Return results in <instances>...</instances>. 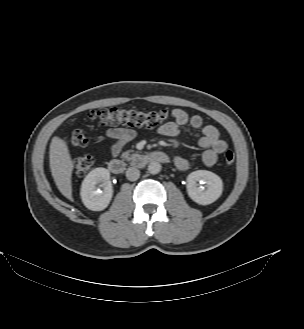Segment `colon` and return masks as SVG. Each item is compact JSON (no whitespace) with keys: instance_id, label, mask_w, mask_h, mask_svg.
<instances>
[{"instance_id":"1","label":"colon","mask_w":304,"mask_h":329,"mask_svg":"<svg viewBox=\"0 0 304 329\" xmlns=\"http://www.w3.org/2000/svg\"><path fill=\"white\" fill-rule=\"evenodd\" d=\"M171 115L167 110L160 111H137L132 109L101 108L92 110L89 118L99 125L127 124L130 126L156 127L169 121ZM89 141L85 130H75L71 136L70 144L73 147L85 146ZM224 160L227 165L235 162V155L231 150L226 151ZM94 165V156L87 154L79 157L74 164L77 176L88 173Z\"/></svg>"}]
</instances>
